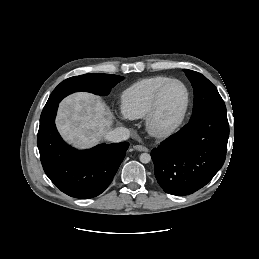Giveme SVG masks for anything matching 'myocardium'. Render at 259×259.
I'll list each match as a JSON object with an SVG mask.
<instances>
[{
	"label": "myocardium",
	"mask_w": 259,
	"mask_h": 259,
	"mask_svg": "<svg viewBox=\"0 0 259 259\" xmlns=\"http://www.w3.org/2000/svg\"><path fill=\"white\" fill-rule=\"evenodd\" d=\"M171 83H179L180 85L183 86L185 93H186V100H185L183 110H182L180 116L178 117V119L169 126L160 127L156 123V117H157V113L159 110L160 99H161L164 89ZM190 102H191L190 90H189L188 86L182 80L177 79V78H169L168 80H166L164 83H162L157 88V90L153 96L151 106L145 116V127H146L147 132L151 136L156 137V138H166V137L172 135L173 133H175L179 129V127L182 125V123L184 122V120L186 118V115L189 110Z\"/></svg>",
	"instance_id": "f54148a6"
}]
</instances>
